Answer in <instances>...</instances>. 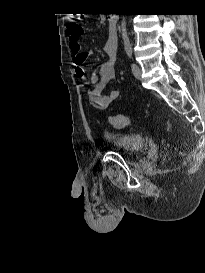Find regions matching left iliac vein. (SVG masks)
Returning <instances> with one entry per match:
<instances>
[{
	"instance_id": "obj_1",
	"label": "left iliac vein",
	"mask_w": 205,
	"mask_h": 273,
	"mask_svg": "<svg viewBox=\"0 0 205 273\" xmlns=\"http://www.w3.org/2000/svg\"><path fill=\"white\" fill-rule=\"evenodd\" d=\"M133 75L137 79H141V69L136 63H132L131 65Z\"/></svg>"
}]
</instances>
